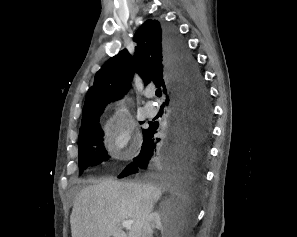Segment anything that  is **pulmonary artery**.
<instances>
[{"label":"pulmonary artery","mask_w":297,"mask_h":237,"mask_svg":"<svg viewBox=\"0 0 297 237\" xmlns=\"http://www.w3.org/2000/svg\"><path fill=\"white\" fill-rule=\"evenodd\" d=\"M145 111L148 116H154L157 114L158 109H157V106L154 105L152 102H147L145 104Z\"/></svg>","instance_id":"obj_1"}]
</instances>
